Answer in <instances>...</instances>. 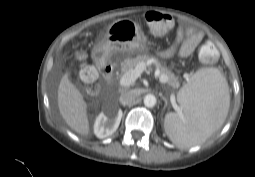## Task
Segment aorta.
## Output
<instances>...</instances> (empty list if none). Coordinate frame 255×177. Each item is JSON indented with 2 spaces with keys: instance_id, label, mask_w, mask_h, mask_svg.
Masks as SVG:
<instances>
[{
  "instance_id": "1",
  "label": "aorta",
  "mask_w": 255,
  "mask_h": 177,
  "mask_svg": "<svg viewBox=\"0 0 255 177\" xmlns=\"http://www.w3.org/2000/svg\"><path fill=\"white\" fill-rule=\"evenodd\" d=\"M144 105L147 107H153L157 103V99L153 94H147L144 97Z\"/></svg>"
}]
</instances>
